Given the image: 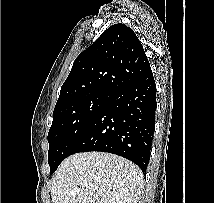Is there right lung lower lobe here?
Masks as SVG:
<instances>
[{
    "label": "right lung lower lobe",
    "mask_w": 214,
    "mask_h": 203,
    "mask_svg": "<svg viewBox=\"0 0 214 203\" xmlns=\"http://www.w3.org/2000/svg\"><path fill=\"white\" fill-rule=\"evenodd\" d=\"M156 84L152 71L109 94L69 156L101 151L117 154L137 164L146 174L155 129Z\"/></svg>",
    "instance_id": "98d812e1"
}]
</instances>
